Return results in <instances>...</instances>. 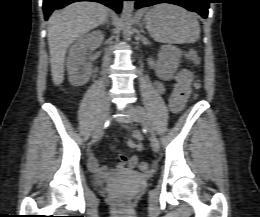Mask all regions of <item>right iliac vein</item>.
<instances>
[{
    "instance_id": "right-iliac-vein-1",
    "label": "right iliac vein",
    "mask_w": 260,
    "mask_h": 217,
    "mask_svg": "<svg viewBox=\"0 0 260 217\" xmlns=\"http://www.w3.org/2000/svg\"><path fill=\"white\" fill-rule=\"evenodd\" d=\"M110 105H111L110 99L108 97L104 98V100L102 102L100 117H99L98 123L96 125L94 134H93L92 143L97 142V140L100 138V136L102 134L104 124L109 115Z\"/></svg>"
}]
</instances>
